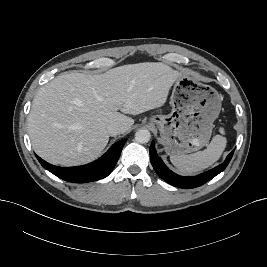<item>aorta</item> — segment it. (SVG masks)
I'll return each instance as SVG.
<instances>
[{
  "label": "aorta",
  "mask_w": 267,
  "mask_h": 267,
  "mask_svg": "<svg viewBox=\"0 0 267 267\" xmlns=\"http://www.w3.org/2000/svg\"><path fill=\"white\" fill-rule=\"evenodd\" d=\"M151 138V134L147 129H139L136 133H135V140L138 143H147L149 142Z\"/></svg>",
  "instance_id": "762f6f07"
}]
</instances>
